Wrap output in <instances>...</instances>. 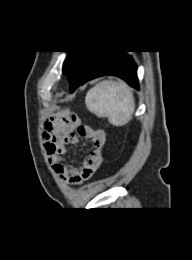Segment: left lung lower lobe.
<instances>
[{
    "instance_id": "0a47b994",
    "label": "left lung lower lobe",
    "mask_w": 192,
    "mask_h": 260,
    "mask_svg": "<svg viewBox=\"0 0 192 260\" xmlns=\"http://www.w3.org/2000/svg\"><path fill=\"white\" fill-rule=\"evenodd\" d=\"M123 52L122 50L98 51L88 65L78 86L100 76L114 75L124 79L135 89H139L136 64L131 56Z\"/></svg>"
}]
</instances>
